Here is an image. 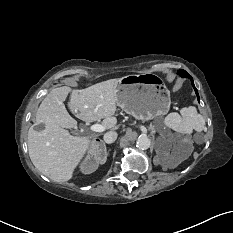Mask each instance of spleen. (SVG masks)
I'll list each match as a JSON object with an SVG mask.
<instances>
[{
	"label": "spleen",
	"mask_w": 233,
	"mask_h": 233,
	"mask_svg": "<svg viewBox=\"0 0 233 233\" xmlns=\"http://www.w3.org/2000/svg\"><path fill=\"white\" fill-rule=\"evenodd\" d=\"M164 124L177 133L190 135L193 129L201 132L204 129L205 120L202 115L198 114L195 107L190 106L182 108L181 115L176 112L168 114L164 119Z\"/></svg>",
	"instance_id": "obj_1"
}]
</instances>
